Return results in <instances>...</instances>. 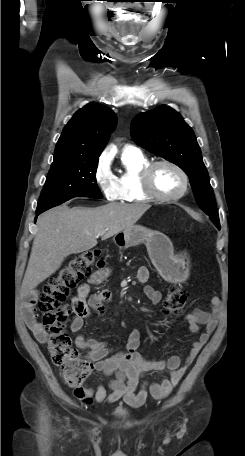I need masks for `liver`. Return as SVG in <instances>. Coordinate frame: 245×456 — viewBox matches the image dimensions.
Instances as JSON below:
<instances>
[{
	"label": "liver",
	"mask_w": 245,
	"mask_h": 456,
	"mask_svg": "<svg viewBox=\"0 0 245 456\" xmlns=\"http://www.w3.org/2000/svg\"><path fill=\"white\" fill-rule=\"evenodd\" d=\"M150 207L146 203H109L95 208L61 205L42 213L21 296L31 294L54 274L68 255L92 249L99 236L105 240L132 227Z\"/></svg>",
	"instance_id": "6515ba94"
}]
</instances>
